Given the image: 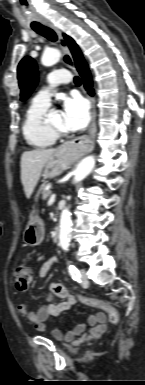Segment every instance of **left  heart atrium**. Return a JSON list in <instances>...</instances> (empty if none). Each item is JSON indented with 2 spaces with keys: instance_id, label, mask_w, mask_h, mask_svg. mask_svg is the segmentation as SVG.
Here are the masks:
<instances>
[{
  "instance_id": "39dd6f15",
  "label": "left heart atrium",
  "mask_w": 145,
  "mask_h": 385,
  "mask_svg": "<svg viewBox=\"0 0 145 385\" xmlns=\"http://www.w3.org/2000/svg\"><path fill=\"white\" fill-rule=\"evenodd\" d=\"M64 125L68 131H78L86 127L90 115L86 101L80 96H72L63 102Z\"/></svg>"
}]
</instances>
